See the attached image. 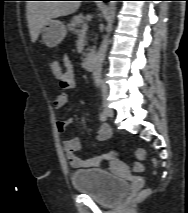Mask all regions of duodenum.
I'll use <instances>...</instances> for the list:
<instances>
[{
  "label": "duodenum",
  "instance_id": "duodenum-1",
  "mask_svg": "<svg viewBox=\"0 0 188 213\" xmlns=\"http://www.w3.org/2000/svg\"><path fill=\"white\" fill-rule=\"evenodd\" d=\"M84 68L87 71H93L95 69V57L90 56L84 61Z\"/></svg>",
  "mask_w": 188,
  "mask_h": 213
}]
</instances>
